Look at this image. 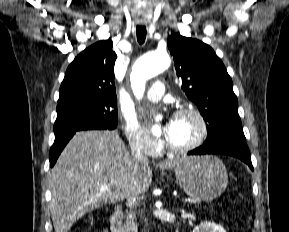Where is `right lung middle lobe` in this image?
<instances>
[{"label":"right lung middle lobe","instance_id":"1","mask_svg":"<svg viewBox=\"0 0 289 232\" xmlns=\"http://www.w3.org/2000/svg\"><path fill=\"white\" fill-rule=\"evenodd\" d=\"M117 102L82 99L57 106L54 124L55 136L88 129H115L117 127Z\"/></svg>","mask_w":289,"mask_h":232}]
</instances>
